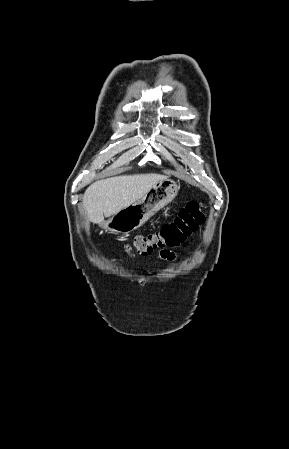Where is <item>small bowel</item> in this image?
<instances>
[{
    "instance_id": "small-bowel-1",
    "label": "small bowel",
    "mask_w": 289,
    "mask_h": 449,
    "mask_svg": "<svg viewBox=\"0 0 289 449\" xmlns=\"http://www.w3.org/2000/svg\"><path fill=\"white\" fill-rule=\"evenodd\" d=\"M159 254L162 259L167 261H174L176 259V254L171 250L163 249Z\"/></svg>"
}]
</instances>
